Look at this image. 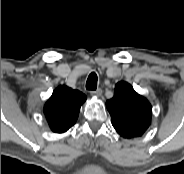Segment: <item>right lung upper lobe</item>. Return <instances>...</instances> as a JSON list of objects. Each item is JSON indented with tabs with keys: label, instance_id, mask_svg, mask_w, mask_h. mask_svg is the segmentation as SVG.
Wrapping results in <instances>:
<instances>
[{
	"label": "right lung upper lobe",
	"instance_id": "obj_1",
	"mask_svg": "<svg viewBox=\"0 0 184 174\" xmlns=\"http://www.w3.org/2000/svg\"><path fill=\"white\" fill-rule=\"evenodd\" d=\"M86 96L66 85L58 86L44 105V114L53 132H66L77 121Z\"/></svg>",
	"mask_w": 184,
	"mask_h": 174
}]
</instances>
